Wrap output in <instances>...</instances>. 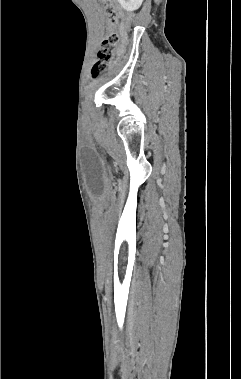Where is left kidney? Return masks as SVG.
Instances as JSON below:
<instances>
[{
    "label": "left kidney",
    "instance_id": "left-kidney-1",
    "mask_svg": "<svg viewBox=\"0 0 241 379\" xmlns=\"http://www.w3.org/2000/svg\"><path fill=\"white\" fill-rule=\"evenodd\" d=\"M118 2L124 10L135 11L141 6L143 0H118Z\"/></svg>",
    "mask_w": 241,
    "mask_h": 379
}]
</instances>
